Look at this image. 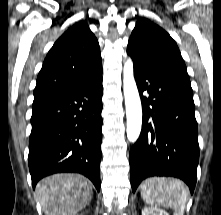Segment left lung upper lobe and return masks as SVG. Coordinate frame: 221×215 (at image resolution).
<instances>
[{
    "instance_id": "1",
    "label": "left lung upper lobe",
    "mask_w": 221,
    "mask_h": 215,
    "mask_svg": "<svg viewBox=\"0 0 221 215\" xmlns=\"http://www.w3.org/2000/svg\"><path fill=\"white\" fill-rule=\"evenodd\" d=\"M127 53L138 66L175 71L189 80L176 42L165 30L146 18H140L136 23L128 41Z\"/></svg>"
}]
</instances>
